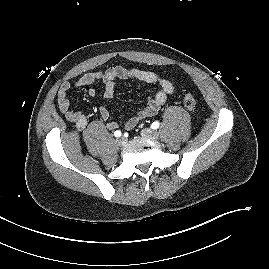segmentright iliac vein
Masks as SVG:
<instances>
[{
	"instance_id": "63e3f726",
	"label": "right iliac vein",
	"mask_w": 269,
	"mask_h": 269,
	"mask_svg": "<svg viewBox=\"0 0 269 269\" xmlns=\"http://www.w3.org/2000/svg\"><path fill=\"white\" fill-rule=\"evenodd\" d=\"M117 143L120 146H125L127 144V140L124 137H120V138L117 139Z\"/></svg>"
}]
</instances>
